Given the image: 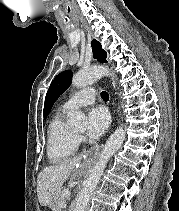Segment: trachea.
<instances>
[{
	"label": "trachea",
	"instance_id": "trachea-1",
	"mask_svg": "<svg viewBox=\"0 0 179 211\" xmlns=\"http://www.w3.org/2000/svg\"><path fill=\"white\" fill-rule=\"evenodd\" d=\"M101 97L103 100L109 99V94L106 91L101 92Z\"/></svg>",
	"mask_w": 179,
	"mask_h": 211
}]
</instances>
